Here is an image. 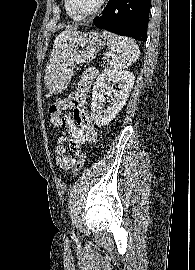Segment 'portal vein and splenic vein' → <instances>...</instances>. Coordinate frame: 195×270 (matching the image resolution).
Masks as SVG:
<instances>
[{"label":"portal vein and splenic vein","instance_id":"18ae733b","mask_svg":"<svg viewBox=\"0 0 195 270\" xmlns=\"http://www.w3.org/2000/svg\"><path fill=\"white\" fill-rule=\"evenodd\" d=\"M106 57H110V54H106Z\"/></svg>","mask_w":195,"mask_h":270}]
</instances>
